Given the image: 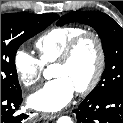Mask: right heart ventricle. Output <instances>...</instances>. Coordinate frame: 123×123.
I'll return each mask as SVG.
<instances>
[{"mask_svg":"<svg viewBox=\"0 0 123 123\" xmlns=\"http://www.w3.org/2000/svg\"><path fill=\"white\" fill-rule=\"evenodd\" d=\"M82 31L78 26L54 27L47 30L35 42L39 60L45 65L56 62L67 44Z\"/></svg>","mask_w":123,"mask_h":123,"instance_id":"e07e8e85","label":"right heart ventricle"}]
</instances>
